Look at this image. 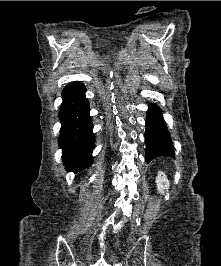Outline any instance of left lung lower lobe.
<instances>
[{
	"label": "left lung lower lobe",
	"mask_w": 221,
	"mask_h": 266,
	"mask_svg": "<svg viewBox=\"0 0 221 266\" xmlns=\"http://www.w3.org/2000/svg\"><path fill=\"white\" fill-rule=\"evenodd\" d=\"M146 163L158 156H174L173 143L163 118L162 110L156 104H150L146 118Z\"/></svg>",
	"instance_id": "left-lung-lower-lobe-1"
}]
</instances>
